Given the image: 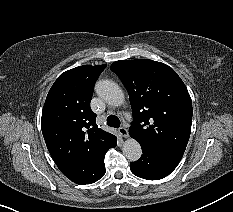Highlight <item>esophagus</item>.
I'll use <instances>...</instances> for the list:
<instances>
[{
    "instance_id": "obj_1",
    "label": "esophagus",
    "mask_w": 233,
    "mask_h": 212,
    "mask_svg": "<svg viewBox=\"0 0 233 212\" xmlns=\"http://www.w3.org/2000/svg\"><path fill=\"white\" fill-rule=\"evenodd\" d=\"M118 131L122 137H128V130L125 127H120Z\"/></svg>"
}]
</instances>
